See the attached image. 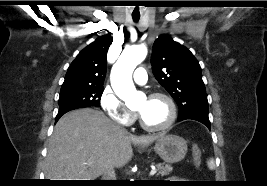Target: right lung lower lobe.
Here are the masks:
<instances>
[{"label":"right lung lower lobe","mask_w":267,"mask_h":186,"mask_svg":"<svg viewBox=\"0 0 267 186\" xmlns=\"http://www.w3.org/2000/svg\"><path fill=\"white\" fill-rule=\"evenodd\" d=\"M68 111H71V110L58 112L56 119H55V122H57L61 118V116L64 115L65 113H67Z\"/></svg>","instance_id":"right-lung-lower-lobe-1"}]
</instances>
